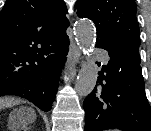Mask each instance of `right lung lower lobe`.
<instances>
[{
    "instance_id": "98d812e1",
    "label": "right lung lower lobe",
    "mask_w": 151,
    "mask_h": 131,
    "mask_svg": "<svg viewBox=\"0 0 151 131\" xmlns=\"http://www.w3.org/2000/svg\"><path fill=\"white\" fill-rule=\"evenodd\" d=\"M69 38H65L48 51L46 62L34 74L18 81L4 95H15L25 98L41 110L47 112L58 89V80L68 54Z\"/></svg>"
}]
</instances>
